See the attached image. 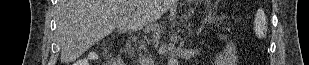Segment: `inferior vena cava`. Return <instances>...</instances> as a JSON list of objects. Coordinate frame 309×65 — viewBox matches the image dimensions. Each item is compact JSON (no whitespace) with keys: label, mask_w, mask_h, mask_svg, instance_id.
Listing matches in <instances>:
<instances>
[{"label":"inferior vena cava","mask_w":309,"mask_h":65,"mask_svg":"<svg viewBox=\"0 0 309 65\" xmlns=\"http://www.w3.org/2000/svg\"><path fill=\"white\" fill-rule=\"evenodd\" d=\"M141 65H154V59L151 55H144L140 60Z\"/></svg>","instance_id":"602c4592"}]
</instances>
